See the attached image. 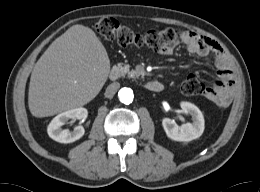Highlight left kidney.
I'll list each match as a JSON object with an SVG mask.
<instances>
[{"mask_svg": "<svg viewBox=\"0 0 260 192\" xmlns=\"http://www.w3.org/2000/svg\"><path fill=\"white\" fill-rule=\"evenodd\" d=\"M180 106L185 114L192 117V123H186L178 126L174 120L163 118L162 126L166 135L175 141L188 142L199 138L204 131V117L202 112L190 102H181Z\"/></svg>", "mask_w": 260, "mask_h": 192, "instance_id": "5707ae66", "label": "left kidney"}]
</instances>
